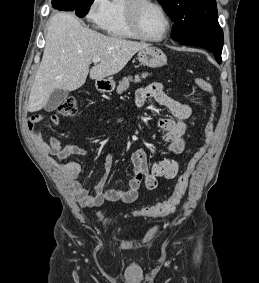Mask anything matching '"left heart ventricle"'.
Returning <instances> with one entry per match:
<instances>
[{
    "mask_svg": "<svg viewBox=\"0 0 259 283\" xmlns=\"http://www.w3.org/2000/svg\"><path fill=\"white\" fill-rule=\"evenodd\" d=\"M140 24L143 32L152 38H160L167 29L164 15L153 6H146L140 14Z\"/></svg>",
    "mask_w": 259,
    "mask_h": 283,
    "instance_id": "obj_1",
    "label": "left heart ventricle"
}]
</instances>
